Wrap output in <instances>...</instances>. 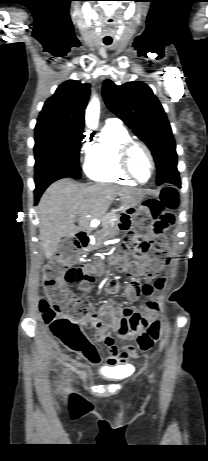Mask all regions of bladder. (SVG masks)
Listing matches in <instances>:
<instances>
[{
    "mask_svg": "<svg viewBox=\"0 0 208 461\" xmlns=\"http://www.w3.org/2000/svg\"><path fill=\"white\" fill-rule=\"evenodd\" d=\"M100 373L105 378H119L122 376L120 367L102 368Z\"/></svg>",
    "mask_w": 208,
    "mask_h": 461,
    "instance_id": "bladder-1",
    "label": "bladder"
}]
</instances>
